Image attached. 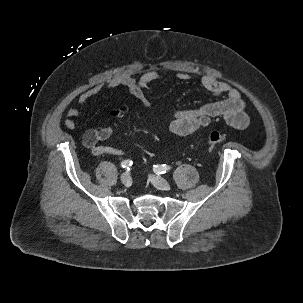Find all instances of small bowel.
<instances>
[{
	"instance_id": "small-bowel-1",
	"label": "small bowel",
	"mask_w": 303,
	"mask_h": 303,
	"mask_svg": "<svg viewBox=\"0 0 303 303\" xmlns=\"http://www.w3.org/2000/svg\"><path fill=\"white\" fill-rule=\"evenodd\" d=\"M177 78L181 81L192 79L186 73L177 74ZM163 80H165L164 76L153 71L146 72L138 78L129 74H117L108 80V87L113 90L119 87L126 88L144 108H149L150 102L146 93L153 83ZM201 85L214 97L220 99L199 107L177 111L169 126L172 133L177 136H187L208 125L215 119H223L229 126L239 130L248 127L249 117L245 112V102L237 89L212 76H204L201 79ZM100 91V86H93L79 95L77 106L67 110V117L64 120V126L67 129H74L76 127L74 118L80 115L81 109L86 102ZM112 133L113 126L111 122H108L103 127L87 130L82 137V143L96 156L122 155L123 151L121 149L99 144L108 139Z\"/></svg>"
}]
</instances>
